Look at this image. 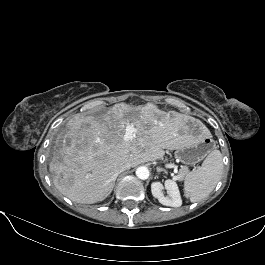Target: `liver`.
Wrapping results in <instances>:
<instances>
[{
	"mask_svg": "<svg viewBox=\"0 0 265 265\" xmlns=\"http://www.w3.org/2000/svg\"><path fill=\"white\" fill-rule=\"evenodd\" d=\"M193 120L153 105L134 110L115 104L105 114L75 115L56 141V155L49 164L53 183L74 202L102 201L113 190L119 163L129 161L135 167L162 158L164 149L184 147L192 139L186 123ZM127 123L137 129L131 141L123 139Z\"/></svg>",
	"mask_w": 265,
	"mask_h": 265,
	"instance_id": "6515ba94",
	"label": "liver"
}]
</instances>
